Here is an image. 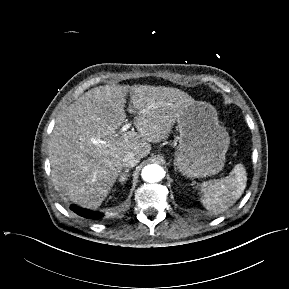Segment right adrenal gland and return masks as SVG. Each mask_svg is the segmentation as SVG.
<instances>
[{
  "mask_svg": "<svg viewBox=\"0 0 289 289\" xmlns=\"http://www.w3.org/2000/svg\"><path fill=\"white\" fill-rule=\"evenodd\" d=\"M129 169H126L123 173L120 174L119 182L123 185L127 180Z\"/></svg>",
  "mask_w": 289,
  "mask_h": 289,
  "instance_id": "1",
  "label": "right adrenal gland"
}]
</instances>
